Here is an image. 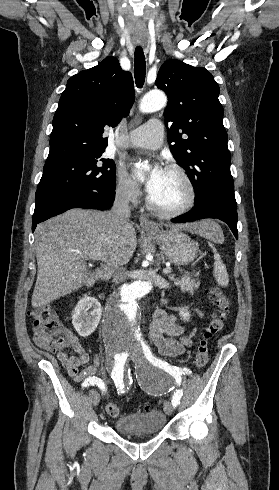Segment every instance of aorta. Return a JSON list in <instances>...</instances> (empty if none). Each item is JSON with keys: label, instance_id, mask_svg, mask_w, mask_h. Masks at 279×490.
Listing matches in <instances>:
<instances>
[{"label": "aorta", "instance_id": "aorta-1", "mask_svg": "<svg viewBox=\"0 0 279 490\" xmlns=\"http://www.w3.org/2000/svg\"><path fill=\"white\" fill-rule=\"evenodd\" d=\"M166 103L163 92L151 91L143 97L140 111L151 113L162 109ZM151 289L150 281H134L109 299L103 320V334L108 346L131 347L143 342L138 300Z\"/></svg>", "mask_w": 279, "mask_h": 490}]
</instances>
